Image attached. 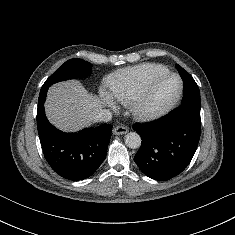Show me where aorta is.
<instances>
[{
	"mask_svg": "<svg viewBox=\"0 0 235 235\" xmlns=\"http://www.w3.org/2000/svg\"><path fill=\"white\" fill-rule=\"evenodd\" d=\"M125 144L131 149H136L141 145V137L136 132H130L125 135Z\"/></svg>",
	"mask_w": 235,
	"mask_h": 235,
	"instance_id": "aorta-1",
	"label": "aorta"
}]
</instances>
